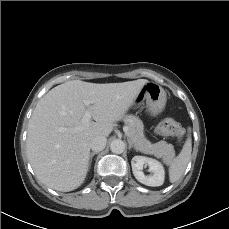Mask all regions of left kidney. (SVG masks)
Returning a JSON list of instances; mask_svg holds the SVG:
<instances>
[{"mask_svg":"<svg viewBox=\"0 0 229 229\" xmlns=\"http://www.w3.org/2000/svg\"><path fill=\"white\" fill-rule=\"evenodd\" d=\"M132 171L135 178L142 184L147 186H161L164 183L165 170L163 165L152 158L145 156H134L131 161ZM148 166L151 175L144 174L143 167Z\"/></svg>","mask_w":229,"mask_h":229,"instance_id":"5707ae66","label":"left kidney"}]
</instances>
